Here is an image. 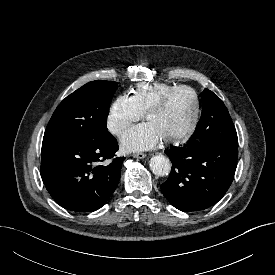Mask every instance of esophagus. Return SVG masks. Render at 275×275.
Listing matches in <instances>:
<instances>
[{"instance_id": "1", "label": "esophagus", "mask_w": 275, "mask_h": 275, "mask_svg": "<svg viewBox=\"0 0 275 275\" xmlns=\"http://www.w3.org/2000/svg\"><path fill=\"white\" fill-rule=\"evenodd\" d=\"M134 158H138V159H143L145 158L147 155L145 153H134L132 155Z\"/></svg>"}]
</instances>
